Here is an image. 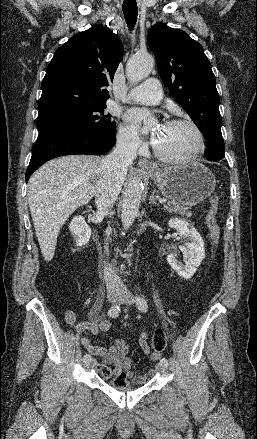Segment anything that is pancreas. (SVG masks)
<instances>
[{
    "mask_svg": "<svg viewBox=\"0 0 257 439\" xmlns=\"http://www.w3.org/2000/svg\"><path fill=\"white\" fill-rule=\"evenodd\" d=\"M164 208L167 209L169 212H175L181 216H192V212L189 211L188 207L183 206L175 201H169L166 205H164Z\"/></svg>",
    "mask_w": 257,
    "mask_h": 439,
    "instance_id": "1",
    "label": "pancreas"
}]
</instances>
